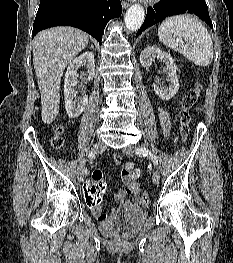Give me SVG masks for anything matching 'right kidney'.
<instances>
[{"label":"right kidney","mask_w":233,"mask_h":263,"mask_svg":"<svg viewBox=\"0 0 233 263\" xmlns=\"http://www.w3.org/2000/svg\"><path fill=\"white\" fill-rule=\"evenodd\" d=\"M84 66L87 69L88 79L91 81L95 75L94 54L90 51L82 53L69 63L64 79L65 109L70 118L79 117L88 104V96H79L75 90L78 83V69Z\"/></svg>","instance_id":"obj_1"}]
</instances>
